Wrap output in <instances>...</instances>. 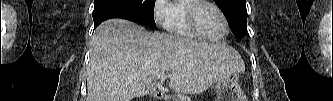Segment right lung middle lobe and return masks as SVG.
Wrapping results in <instances>:
<instances>
[{"label":"right lung middle lobe","mask_w":333,"mask_h":101,"mask_svg":"<svg viewBox=\"0 0 333 101\" xmlns=\"http://www.w3.org/2000/svg\"><path fill=\"white\" fill-rule=\"evenodd\" d=\"M137 12L141 24L157 29L154 21L155 0H126ZM96 2V0H95Z\"/></svg>","instance_id":"1"}]
</instances>
